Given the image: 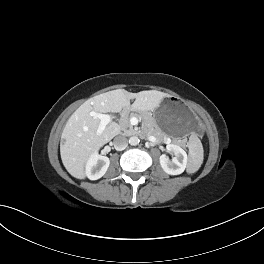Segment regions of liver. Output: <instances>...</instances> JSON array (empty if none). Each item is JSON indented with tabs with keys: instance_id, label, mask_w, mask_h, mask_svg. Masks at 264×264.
Returning a JSON list of instances; mask_svg holds the SVG:
<instances>
[{
	"instance_id": "6515ba94",
	"label": "liver",
	"mask_w": 264,
	"mask_h": 264,
	"mask_svg": "<svg viewBox=\"0 0 264 264\" xmlns=\"http://www.w3.org/2000/svg\"><path fill=\"white\" fill-rule=\"evenodd\" d=\"M168 94L151 90L130 93L117 89L97 95L84 102L68 119L60 144V155L66 170L77 179L86 177L85 165L89 157L96 153L120 132L115 122H110L101 135H97L100 119L91 116V112H120L130 106L135 99L133 110L152 111L159 107Z\"/></svg>"
}]
</instances>
